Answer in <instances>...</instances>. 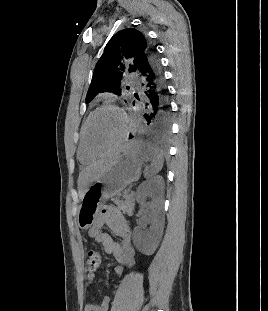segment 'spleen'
I'll use <instances>...</instances> for the list:
<instances>
[{
  "instance_id": "3e777b00",
  "label": "spleen",
  "mask_w": 268,
  "mask_h": 311,
  "mask_svg": "<svg viewBox=\"0 0 268 311\" xmlns=\"http://www.w3.org/2000/svg\"><path fill=\"white\" fill-rule=\"evenodd\" d=\"M145 160H150L151 165L145 169L144 176L145 178H152L162 169L163 156L158 149L148 145Z\"/></svg>"
}]
</instances>
